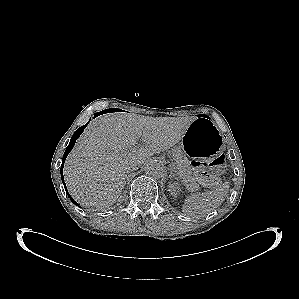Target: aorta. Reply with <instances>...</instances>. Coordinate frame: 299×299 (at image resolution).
I'll list each match as a JSON object with an SVG mask.
<instances>
[{
  "mask_svg": "<svg viewBox=\"0 0 299 299\" xmlns=\"http://www.w3.org/2000/svg\"><path fill=\"white\" fill-rule=\"evenodd\" d=\"M145 172L153 178H160L164 176L166 168L161 161L151 160L146 164Z\"/></svg>",
  "mask_w": 299,
  "mask_h": 299,
  "instance_id": "obj_1",
  "label": "aorta"
}]
</instances>
